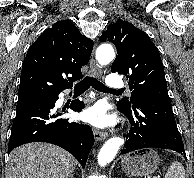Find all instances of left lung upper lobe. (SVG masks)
Wrapping results in <instances>:
<instances>
[{
	"instance_id": "5c2ea615",
	"label": "left lung upper lobe",
	"mask_w": 194,
	"mask_h": 178,
	"mask_svg": "<svg viewBox=\"0 0 194 178\" xmlns=\"http://www.w3.org/2000/svg\"><path fill=\"white\" fill-rule=\"evenodd\" d=\"M99 39L116 45L118 55L111 71L129 79L130 97L120 100L117 106L130 108L131 99L136 95L169 98L159 51L144 31L127 21L117 20Z\"/></svg>"
}]
</instances>
